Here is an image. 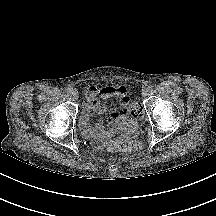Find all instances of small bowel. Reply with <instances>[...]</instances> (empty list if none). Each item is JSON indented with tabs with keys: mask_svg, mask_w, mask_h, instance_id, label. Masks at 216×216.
Segmentation results:
<instances>
[{
	"mask_svg": "<svg viewBox=\"0 0 216 216\" xmlns=\"http://www.w3.org/2000/svg\"><path fill=\"white\" fill-rule=\"evenodd\" d=\"M112 98L118 99L119 108L108 116L110 129L115 128L118 117L123 115L128 107L129 94L126 87L105 84L94 85L87 89L80 120L81 129L84 134L98 140H104L109 135V130H106L100 123H92V119L96 115L103 114L108 110V106L102 104L100 99L107 100Z\"/></svg>",
	"mask_w": 216,
	"mask_h": 216,
	"instance_id": "obj_1",
	"label": "small bowel"
}]
</instances>
